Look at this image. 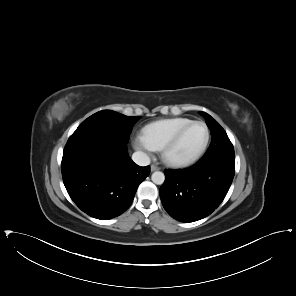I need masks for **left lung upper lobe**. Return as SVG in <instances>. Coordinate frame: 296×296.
<instances>
[{"instance_id": "left-lung-upper-lobe-1", "label": "left lung upper lobe", "mask_w": 296, "mask_h": 296, "mask_svg": "<svg viewBox=\"0 0 296 296\" xmlns=\"http://www.w3.org/2000/svg\"><path fill=\"white\" fill-rule=\"evenodd\" d=\"M211 132V144L200 162L209 163L222 156H235L234 148L220 124L205 112H200Z\"/></svg>"}]
</instances>
